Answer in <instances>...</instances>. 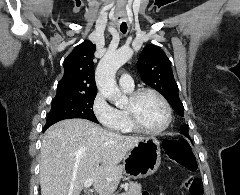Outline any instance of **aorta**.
I'll return each mask as SVG.
<instances>
[{
	"label": "aorta",
	"mask_w": 240,
	"mask_h": 195,
	"mask_svg": "<svg viewBox=\"0 0 240 195\" xmlns=\"http://www.w3.org/2000/svg\"><path fill=\"white\" fill-rule=\"evenodd\" d=\"M133 52L130 48H120L117 52H107L104 58H101L95 72L96 86L109 101L119 103L123 98L115 80L116 72L132 58Z\"/></svg>",
	"instance_id": "aorta-1"
}]
</instances>
